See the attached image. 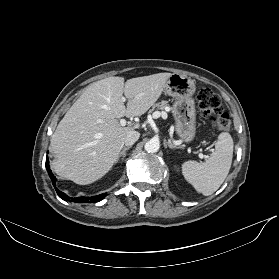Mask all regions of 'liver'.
<instances>
[{
  "instance_id": "obj_1",
  "label": "liver",
  "mask_w": 279,
  "mask_h": 279,
  "mask_svg": "<svg viewBox=\"0 0 279 279\" xmlns=\"http://www.w3.org/2000/svg\"><path fill=\"white\" fill-rule=\"evenodd\" d=\"M171 73L109 77L89 86L59 122L50 140L52 167L64 179L91 184L109 172L135 127L121 117L141 116L158 100ZM127 98V106L122 100Z\"/></svg>"
}]
</instances>
